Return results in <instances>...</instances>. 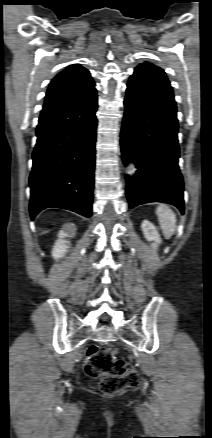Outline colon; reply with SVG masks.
<instances>
[{"instance_id": "obj_1", "label": "colon", "mask_w": 212, "mask_h": 438, "mask_svg": "<svg viewBox=\"0 0 212 438\" xmlns=\"http://www.w3.org/2000/svg\"><path fill=\"white\" fill-rule=\"evenodd\" d=\"M115 347L90 346L85 360V372L100 378L99 388L106 394H115L138 385L139 376L134 367L116 357Z\"/></svg>"}]
</instances>
